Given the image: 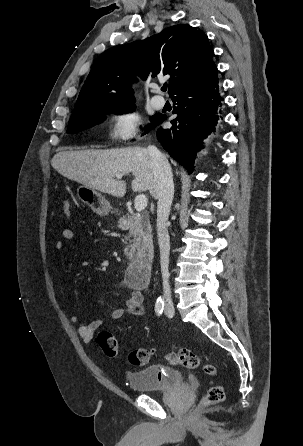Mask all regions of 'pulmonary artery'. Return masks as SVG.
I'll list each match as a JSON object with an SVG mask.
<instances>
[{
	"label": "pulmonary artery",
	"mask_w": 303,
	"mask_h": 446,
	"mask_svg": "<svg viewBox=\"0 0 303 446\" xmlns=\"http://www.w3.org/2000/svg\"><path fill=\"white\" fill-rule=\"evenodd\" d=\"M151 103H152L154 108L160 109V108L164 107L165 100H164V98L162 96L155 95V96L152 97Z\"/></svg>",
	"instance_id": "e3ab8cb5"
}]
</instances>
